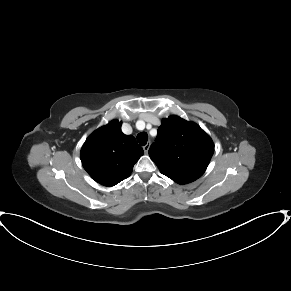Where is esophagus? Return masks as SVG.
Here are the masks:
<instances>
[{
    "label": "esophagus",
    "instance_id": "1",
    "mask_svg": "<svg viewBox=\"0 0 291 291\" xmlns=\"http://www.w3.org/2000/svg\"><path fill=\"white\" fill-rule=\"evenodd\" d=\"M149 148H150V144H146V145L143 147V150H144L145 154L148 153Z\"/></svg>",
    "mask_w": 291,
    "mask_h": 291
}]
</instances>
